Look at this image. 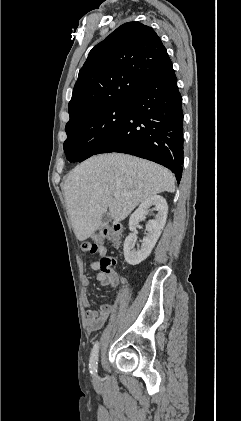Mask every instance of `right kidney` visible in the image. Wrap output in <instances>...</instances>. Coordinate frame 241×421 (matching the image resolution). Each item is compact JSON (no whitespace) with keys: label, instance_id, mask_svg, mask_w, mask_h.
I'll return each instance as SVG.
<instances>
[{"label":"right kidney","instance_id":"1","mask_svg":"<svg viewBox=\"0 0 241 421\" xmlns=\"http://www.w3.org/2000/svg\"><path fill=\"white\" fill-rule=\"evenodd\" d=\"M152 206H154L157 214L155 219L150 220L147 223V234L141 241V246L137 249L134 248L135 242L137 241L135 234H130L125 239L124 257L126 262L130 265H138L150 255L165 226L168 213L167 202L162 196L154 195L145 199L140 204L139 208L131 215L129 219L130 231L135 230L139 220L148 213L149 208Z\"/></svg>","mask_w":241,"mask_h":421}]
</instances>
